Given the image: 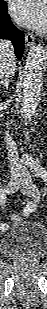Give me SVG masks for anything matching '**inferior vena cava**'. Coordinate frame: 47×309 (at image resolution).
I'll use <instances>...</instances> for the list:
<instances>
[{
    "mask_svg": "<svg viewBox=\"0 0 47 309\" xmlns=\"http://www.w3.org/2000/svg\"><path fill=\"white\" fill-rule=\"evenodd\" d=\"M15 54L14 49L10 41L1 40L0 42V79H4L10 82V78L14 75L16 62H15ZM6 144L8 150V157L11 165L21 170L22 166L18 162V155L15 148V143L12 138L7 135L6 136Z\"/></svg>",
    "mask_w": 47,
    "mask_h": 309,
    "instance_id": "1",
    "label": "inferior vena cava"
}]
</instances>
